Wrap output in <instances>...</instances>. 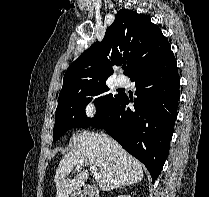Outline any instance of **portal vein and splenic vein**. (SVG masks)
Masks as SVG:
<instances>
[{"mask_svg": "<svg viewBox=\"0 0 209 197\" xmlns=\"http://www.w3.org/2000/svg\"><path fill=\"white\" fill-rule=\"evenodd\" d=\"M90 170L93 173L95 180L100 181L102 178V175L100 172H98L97 167L95 165H90Z\"/></svg>", "mask_w": 209, "mask_h": 197, "instance_id": "1", "label": "portal vein and splenic vein"}]
</instances>
